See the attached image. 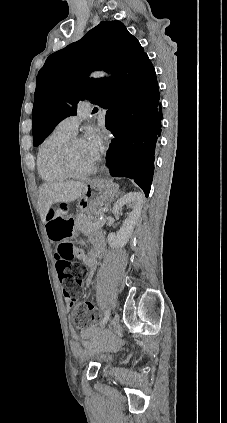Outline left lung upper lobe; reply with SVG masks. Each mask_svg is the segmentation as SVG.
I'll return each mask as SVG.
<instances>
[{
    "label": "left lung upper lobe",
    "mask_w": 227,
    "mask_h": 423,
    "mask_svg": "<svg viewBox=\"0 0 227 423\" xmlns=\"http://www.w3.org/2000/svg\"><path fill=\"white\" fill-rule=\"evenodd\" d=\"M93 70L114 77L89 79ZM154 71L139 41L120 21H103L79 41L50 55L36 78L34 146L87 99L104 109H126L132 93Z\"/></svg>",
    "instance_id": "5c2ea615"
}]
</instances>
